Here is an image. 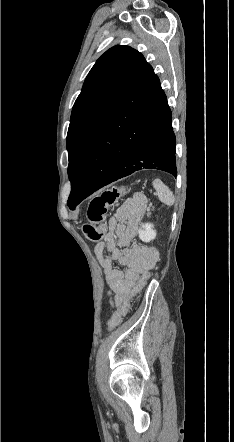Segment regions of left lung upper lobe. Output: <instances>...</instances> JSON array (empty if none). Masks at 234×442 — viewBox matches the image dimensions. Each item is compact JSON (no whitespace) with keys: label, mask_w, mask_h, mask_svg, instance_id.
<instances>
[{"label":"left lung upper lobe","mask_w":234,"mask_h":442,"mask_svg":"<svg viewBox=\"0 0 234 442\" xmlns=\"http://www.w3.org/2000/svg\"><path fill=\"white\" fill-rule=\"evenodd\" d=\"M147 65L137 50L118 45L107 50L90 70L73 106L67 134L71 193L91 141Z\"/></svg>","instance_id":"1"}]
</instances>
